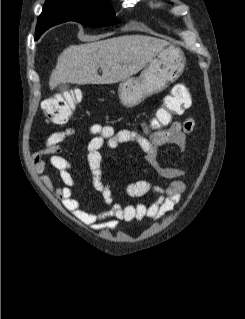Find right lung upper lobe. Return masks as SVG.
Wrapping results in <instances>:
<instances>
[{
	"label": "right lung upper lobe",
	"mask_w": 245,
	"mask_h": 319,
	"mask_svg": "<svg viewBox=\"0 0 245 319\" xmlns=\"http://www.w3.org/2000/svg\"><path fill=\"white\" fill-rule=\"evenodd\" d=\"M51 1H55V0H46L44 7L47 6L49 4V2H51ZM55 24H57V22H56V20L51 18L50 8L43 10L42 14L39 16L37 25L41 29H44V28L47 29ZM36 34H37V37L40 36V33H37V30H36Z\"/></svg>",
	"instance_id": "1"
}]
</instances>
